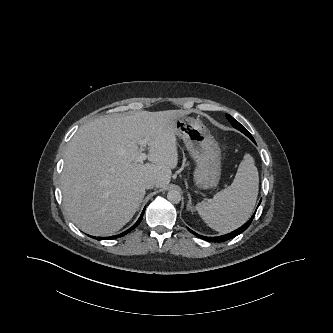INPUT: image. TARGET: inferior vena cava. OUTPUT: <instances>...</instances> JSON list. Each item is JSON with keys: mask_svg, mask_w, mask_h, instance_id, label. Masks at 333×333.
I'll list each match as a JSON object with an SVG mask.
<instances>
[{"mask_svg": "<svg viewBox=\"0 0 333 333\" xmlns=\"http://www.w3.org/2000/svg\"><path fill=\"white\" fill-rule=\"evenodd\" d=\"M155 186H156V181L153 180V179L147 180V181L145 182V188H146V189H151V188H153V187H155Z\"/></svg>", "mask_w": 333, "mask_h": 333, "instance_id": "inferior-vena-cava-1", "label": "inferior vena cava"}]
</instances>
